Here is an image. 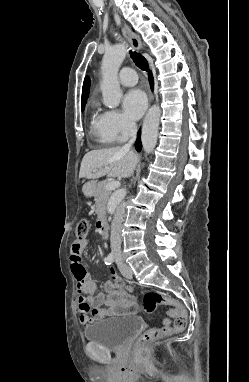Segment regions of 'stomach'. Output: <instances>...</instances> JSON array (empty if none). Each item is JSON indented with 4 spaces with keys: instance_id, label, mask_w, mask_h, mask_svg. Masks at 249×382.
<instances>
[{
    "instance_id": "stomach-1",
    "label": "stomach",
    "mask_w": 249,
    "mask_h": 382,
    "mask_svg": "<svg viewBox=\"0 0 249 382\" xmlns=\"http://www.w3.org/2000/svg\"><path fill=\"white\" fill-rule=\"evenodd\" d=\"M95 189H96V183L89 181L83 186L82 191L86 197H91L94 195Z\"/></svg>"
}]
</instances>
